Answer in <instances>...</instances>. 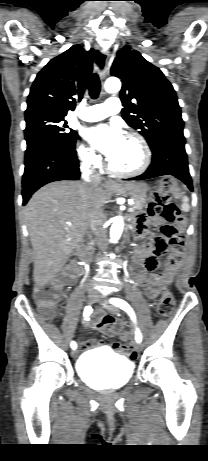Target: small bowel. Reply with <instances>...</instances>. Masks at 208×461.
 Wrapping results in <instances>:
<instances>
[{
  "label": "small bowel",
  "instance_id": "1",
  "mask_svg": "<svg viewBox=\"0 0 208 461\" xmlns=\"http://www.w3.org/2000/svg\"><path fill=\"white\" fill-rule=\"evenodd\" d=\"M150 209H139L138 217L135 220V235L143 237L148 226L155 225V234H150L145 238L147 244L143 250L138 253L141 269L138 271V281L140 285L145 287V294L148 298H155L161 289H163L173 278L172 273H163L160 275H151L148 271L155 269L158 265L157 256L164 253L166 250H171V255L166 258L167 266H180V256L186 255V248H182L183 242H186V234H182V230L178 225H159L157 219H150ZM78 263H65L66 271H77ZM75 274L74 272L72 273ZM72 274H61L59 279L62 282H72L74 280ZM93 325L102 333L112 337L110 348L115 354H121L123 341H130L131 335L123 331V322L110 315H98L93 320ZM119 335L120 337H113ZM104 346V342L100 339H92L88 342H80V349L85 351L91 348H100Z\"/></svg>",
  "mask_w": 208,
  "mask_h": 461
}]
</instances>
